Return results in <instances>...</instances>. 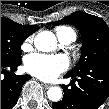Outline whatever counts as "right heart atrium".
<instances>
[{
  "instance_id": "d8ad5b80",
  "label": "right heart atrium",
  "mask_w": 109,
  "mask_h": 109,
  "mask_svg": "<svg viewBox=\"0 0 109 109\" xmlns=\"http://www.w3.org/2000/svg\"><path fill=\"white\" fill-rule=\"evenodd\" d=\"M21 48L24 51L30 50L32 48V39L31 38H27L22 44H21Z\"/></svg>"
}]
</instances>
